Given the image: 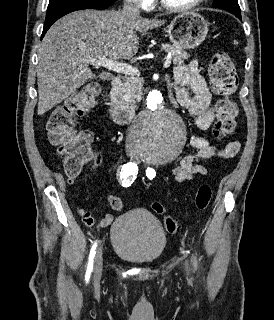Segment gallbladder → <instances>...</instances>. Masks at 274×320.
<instances>
[{"mask_svg": "<svg viewBox=\"0 0 274 320\" xmlns=\"http://www.w3.org/2000/svg\"><path fill=\"white\" fill-rule=\"evenodd\" d=\"M91 78L92 79H105L106 73L105 72H92Z\"/></svg>", "mask_w": 274, "mask_h": 320, "instance_id": "bac80fb5", "label": "gallbladder"}]
</instances>
